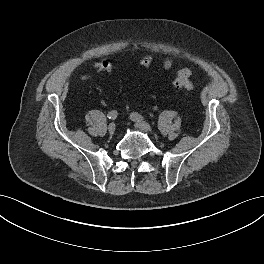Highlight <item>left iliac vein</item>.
<instances>
[{
    "mask_svg": "<svg viewBox=\"0 0 264 264\" xmlns=\"http://www.w3.org/2000/svg\"><path fill=\"white\" fill-rule=\"evenodd\" d=\"M135 126L138 129H141V130L146 131V132L152 131L151 126L145 121L135 120Z\"/></svg>",
    "mask_w": 264,
    "mask_h": 264,
    "instance_id": "obj_1",
    "label": "left iliac vein"
}]
</instances>
